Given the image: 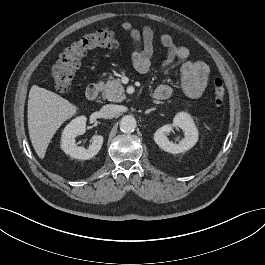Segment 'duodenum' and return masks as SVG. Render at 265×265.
Listing matches in <instances>:
<instances>
[{
  "mask_svg": "<svg viewBox=\"0 0 265 265\" xmlns=\"http://www.w3.org/2000/svg\"><path fill=\"white\" fill-rule=\"evenodd\" d=\"M100 87L97 84H91L86 89V97L88 100H94L97 98Z\"/></svg>",
  "mask_w": 265,
  "mask_h": 265,
  "instance_id": "duodenum-1",
  "label": "duodenum"
}]
</instances>
